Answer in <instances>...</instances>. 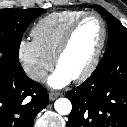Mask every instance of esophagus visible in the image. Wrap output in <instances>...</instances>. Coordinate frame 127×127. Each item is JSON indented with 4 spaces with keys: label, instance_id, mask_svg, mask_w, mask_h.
Segmentation results:
<instances>
[{
    "label": "esophagus",
    "instance_id": "34e87169",
    "mask_svg": "<svg viewBox=\"0 0 127 127\" xmlns=\"http://www.w3.org/2000/svg\"><path fill=\"white\" fill-rule=\"evenodd\" d=\"M60 96V93H57V92H51L50 94H49V99L51 100V101H53V100H55L57 97H59Z\"/></svg>",
    "mask_w": 127,
    "mask_h": 127
}]
</instances>
